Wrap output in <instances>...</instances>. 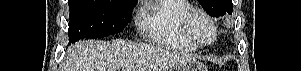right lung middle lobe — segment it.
I'll use <instances>...</instances> for the list:
<instances>
[{
    "label": "right lung middle lobe",
    "instance_id": "1",
    "mask_svg": "<svg viewBox=\"0 0 301 71\" xmlns=\"http://www.w3.org/2000/svg\"><path fill=\"white\" fill-rule=\"evenodd\" d=\"M137 0H68L69 38H99L121 32Z\"/></svg>",
    "mask_w": 301,
    "mask_h": 71
}]
</instances>
